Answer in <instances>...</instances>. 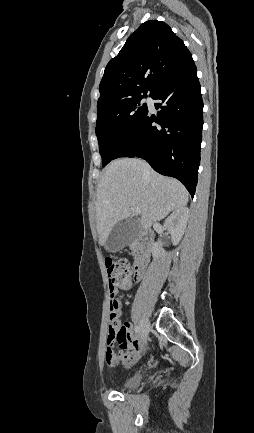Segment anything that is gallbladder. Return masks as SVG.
Returning a JSON list of instances; mask_svg holds the SVG:
<instances>
[{
    "instance_id": "1",
    "label": "gallbladder",
    "mask_w": 254,
    "mask_h": 433,
    "mask_svg": "<svg viewBox=\"0 0 254 433\" xmlns=\"http://www.w3.org/2000/svg\"><path fill=\"white\" fill-rule=\"evenodd\" d=\"M141 225L135 219H123L111 229L107 238L105 249L116 252L133 242L141 233Z\"/></svg>"
}]
</instances>
